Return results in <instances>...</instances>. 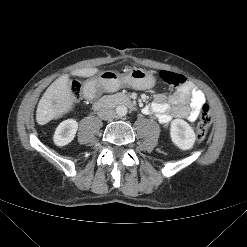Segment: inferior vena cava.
I'll return each mask as SVG.
<instances>
[{
	"label": "inferior vena cava",
	"instance_id": "obj_1",
	"mask_svg": "<svg viewBox=\"0 0 247 247\" xmlns=\"http://www.w3.org/2000/svg\"><path fill=\"white\" fill-rule=\"evenodd\" d=\"M116 113L111 108H102L98 111V116L102 120H112L114 119Z\"/></svg>",
	"mask_w": 247,
	"mask_h": 247
}]
</instances>
